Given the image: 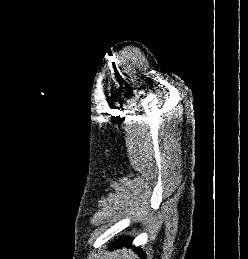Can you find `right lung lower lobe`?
I'll return each instance as SVG.
<instances>
[{
    "instance_id": "98d812e1",
    "label": "right lung lower lobe",
    "mask_w": 248,
    "mask_h": 259,
    "mask_svg": "<svg viewBox=\"0 0 248 259\" xmlns=\"http://www.w3.org/2000/svg\"><path fill=\"white\" fill-rule=\"evenodd\" d=\"M119 244L116 245V247H120V246H131V242H132V239L131 238H124V239H121L119 240ZM137 252H138V255L144 257V252L138 248H136Z\"/></svg>"
}]
</instances>
